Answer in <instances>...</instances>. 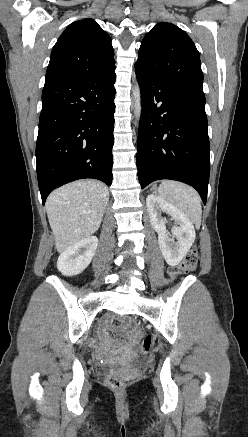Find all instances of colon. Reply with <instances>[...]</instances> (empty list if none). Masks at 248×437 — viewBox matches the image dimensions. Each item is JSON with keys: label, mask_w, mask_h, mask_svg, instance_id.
Here are the masks:
<instances>
[{"label": "colon", "mask_w": 248, "mask_h": 437, "mask_svg": "<svg viewBox=\"0 0 248 437\" xmlns=\"http://www.w3.org/2000/svg\"><path fill=\"white\" fill-rule=\"evenodd\" d=\"M198 261V252L196 248L191 249L182 259V261L168 269V274L172 278H176L180 275L192 272L195 270ZM152 337H145L139 345V352L141 354H148L152 348ZM106 384L115 391H121L125 387V382L123 379L114 376L107 375L105 378Z\"/></svg>", "instance_id": "1"}]
</instances>
